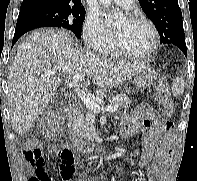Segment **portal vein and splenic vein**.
I'll return each mask as SVG.
<instances>
[{
  "instance_id": "portal-vein-and-splenic-vein-1",
  "label": "portal vein and splenic vein",
  "mask_w": 197,
  "mask_h": 181,
  "mask_svg": "<svg viewBox=\"0 0 197 181\" xmlns=\"http://www.w3.org/2000/svg\"><path fill=\"white\" fill-rule=\"evenodd\" d=\"M50 75H55L56 72L50 71ZM85 78L84 74H75L72 77V85L75 87V91L78 93L80 99L84 102L88 109L92 110L95 114H99L102 112H111L115 113L118 111L117 106H108V107H100L88 94H86L83 90H81L78 86V82L82 81Z\"/></svg>"
}]
</instances>
